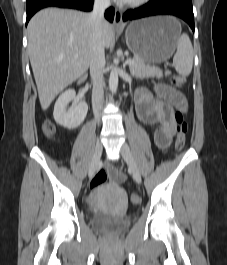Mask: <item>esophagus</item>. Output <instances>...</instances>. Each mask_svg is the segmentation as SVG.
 <instances>
[{
    "instance_id": "1",
    "label": "esophagus",
    "mask_w": 227,
    "mask_h": 265,
    "mask_svg": "<svg viewBox=\"0 0 227 265\" xmlns=\"http://www.w3.org/2000/svg\"><path fill=\"white\" fill-rule=\"evenodd\" d=\"M113 25L116 29H123L122 13L120 10H115Z\"/></svg>"
}]
</instances>
